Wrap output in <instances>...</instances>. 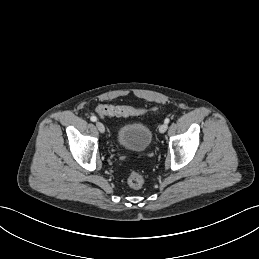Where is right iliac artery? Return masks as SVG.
Listing matches in <instances>:
<instances>
[{
  "label": "right iliac artery",
  "mask_w": 259,
  "mask_h": 259,
  "mask_svg": "<svg viewBox=\"0 0 259 259\" xmlns=\"http://www.w3.org/2000/svg\"><path fill=\"white\" fill-rule=\"evenodd\" d=\"M90 120H91L92 122H95V121H97V118H96V116H91V117H90Z\"/></svg>",
  "instance_id": "1"
}]
</instances>
